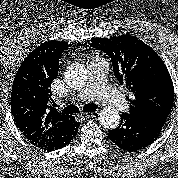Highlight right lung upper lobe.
Returning a JSON list of instances; mask_svg holds the SVG:
<instances>
[{"mask_svg":"<svg viewBox=\"0 0 178 178\" xmlns=\"http://www.w3.org/2000/svg\"><path fill=\"white\" fill-rule=\"evenodd\" d=\"M71 45L48 41L21 63L12 85L11 112L21 134L44 149L68 133L77 121L53 106L51 83L58 76L61 53Z\"/></svg>","mask_w":178,"mask_h":178,"instance_id":"1","label":"right lung upper lobe"}]
</instances>
